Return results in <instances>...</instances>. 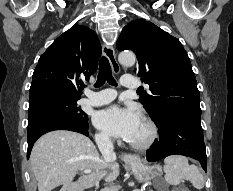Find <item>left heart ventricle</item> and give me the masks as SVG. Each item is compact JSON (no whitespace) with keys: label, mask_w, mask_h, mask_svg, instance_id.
<instances>
[{"label":"left heart ventricle","mask_w":233,"mask_h":191,"mask_svg":"<svg viewBox=\"0 0 233 191\" xmlns=\"http://www.w3.org/2000/svg\"><path fill=\"white\" fill-rule=\"evenodd\" d=\"M148 137H149V128L145 122L141 121L137 131L135 132L130 142L142 143L146 141Z\"/></svg>","instance_id":"1"}]
</instances>
